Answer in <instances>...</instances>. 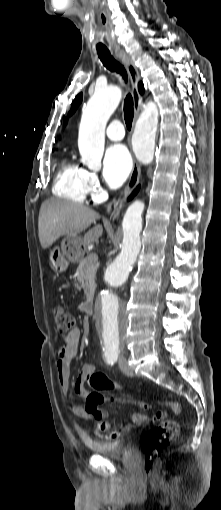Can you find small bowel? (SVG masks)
I'll return each mask as SVG.
<instances>
[{
	"instance_id": "small-bowel-1",
	"label": "small bowel",
	"mask_w": 221,
	"mask_h": 510,
	"mask_svg": "<svg viewBox=\"0 0 221 510\" xmlns=\"http://www.w3.org/2000/svg\"><path fill=\"white\" fill-rule=\"evenodd\" d=\"M80 342V331L79 329H74L69 337L65 340V343L60 347L58 350V360H57V377H58V383L60 386L61 391L67 395L70 388V373L73 361L77 355L78 347ZM95 366L92 363L85 364L75 382H74V390L75 392L80 396H87L90 393V387L88 385V378L89 376L95 372ZM99 407V406H98ZM143 408V407H142ZM148 405L144 409H147ZM72 413L79 418L91 420L92 416L87 411L86 405L85 406H74L72 408ZM133 424L125 425L124 427L111 431L107 439L109 440H116L120 437L127 434L135 425H142L148 422L149 418L146 414L140 413V412H134L131 415ZM108 424L103 423L102 429L100 430H107Z\"/></svg>"
}]
</instances>
